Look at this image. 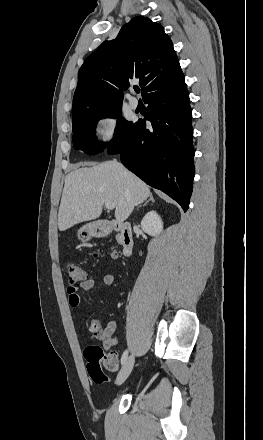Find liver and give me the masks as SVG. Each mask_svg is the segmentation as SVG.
Wrapping results in <instances>:
<instances>
[{
	"label": "liver",
	"mask_w": 263,
	"mask_h": 440,
	"mask_svg": "<svg viewBox=\"0 0 263 440\" xmlns=\"http://www.w3.org/2000/svg\"><path fill=\"white\" fill-rule=\"evenodd\" d=\"M151 196L149 186L115 160L71 171L65 178L58 212V228L98 218L106 201L115 204L117 222Z\"/></svg>",
	"instance_id": "1"
}]
</instances>
